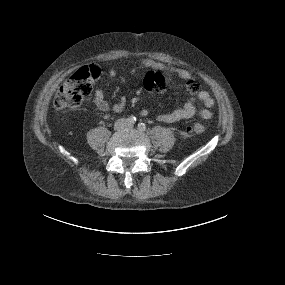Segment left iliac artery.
<instances>
[{"mask_svg": "<svg viewBox=\"0 0 285 285\" xmlns=\"http://www.w3.org/2000/svg\"><path fill=\"white\" fill-rule=\"evenodd\" d=\"M138 129H139L140 131H145V130H146V125H145L144 123H139V124H138Z\"/></svg>", "mask_w": 285, "mask_h": 285, "instance_id": "left-iliac-artery-1", "label": "left iliac artery"}]
</instances>
